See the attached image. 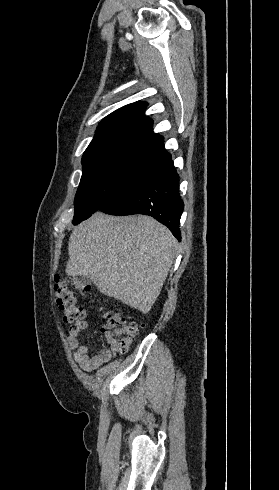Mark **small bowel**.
I'll return each mask as SVG.
<instances>
[{"label": "small bowel", "instance_id": "obj_1", "mask_svg": "<svg viewBox=\"0 0 279 490\" xmlns=\"http://www.w3.org/2000/svg\"><path fill=\"white\" fill-rule=\"evenodd\" d=\"M88 327L87 321H78L71 326L66 334V342L70 349L74 350V359L85 372H93L102 364L114 359L117 355L107 348H102L96 355H90L86 344L81 343L80 333Z\"/></svg>", "mask_w": 279, "mask_h": 490}]
</instances>
